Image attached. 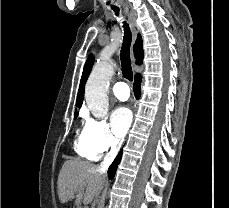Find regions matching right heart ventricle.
I'll return each instance as SVG.
<instances>
[{
  "instance_id": "e07e8e85",
  "label": "right heart ventricle",
  "mask_w": 229,
  "mask_h": 208,
  "mask_svg": "<svg viewBox=\"0 0 229 208\" xmlns=\"http://www.w3.org/2000/svg\"><path fill=\"white\" fill-rule=\"evenodd\" d=\"M74 148L81 156H84L88 159H95L98 156L85 145L81 136L75 140Z\"/></svg>"
}]
</instances>
